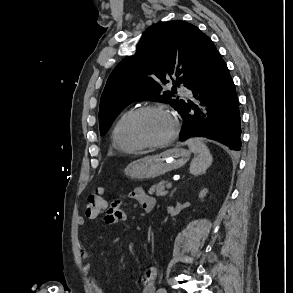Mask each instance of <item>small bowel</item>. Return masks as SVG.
<instances>
[{
	"label": "small bowel",
	"mask_w": 293,
	"mask_h": 293,
	"mask_svg": "<svg viewBox=\"0 0 293 293\" xmlns=\"http://www.w3.org/2000/svg\"><path fill=\"white\" fill-rule=\"evenodd\" d=\"M128 198L139 202L145 212H151L155 207V199L140 187H136L131 190L128 194ZM126 220H128V215L126 211L120 206L119 201H114L111 204H108L104 213V221L106 223L115 224ZM79 224L84 225V220L80 219ZM122 234L112 240V245H115L119 242ZM78 249L84 261L83 270L87 273L91 268V256L82 243L79 244ZM155 279L156 268L154 267L149 268L142 273L140 279L142 284V293H155ZM89 284L95 293H108V291L103 286H101L95 278L90 277Z\"/></svg>",
	"instance_id": "small-bowel-1"
}]
</instances>
